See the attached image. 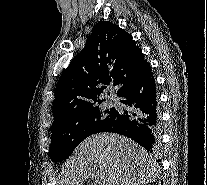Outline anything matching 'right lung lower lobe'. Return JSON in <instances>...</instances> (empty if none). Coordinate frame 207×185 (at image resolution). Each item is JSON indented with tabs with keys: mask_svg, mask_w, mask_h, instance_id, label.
Wrapping results in <instances>:
<instances>
[{
	"mask_svg": "<svg viewBox=\"0 0 207 185\" xmlns=\"http://www.w3.org/2000/svg\"><path fill=\"white\" fill-rule=\"evenodd\" d=\"M117 95L128 110L118 109L117 118L100 132H112L132 138L151 151L158 143L159 108L155 90V79L151 74L122 85Z\"/></svg>",
	"mask_w": 207,
	"mask_h": 185,
	"instance_id": "obj_1",
	"label": "right lung lower lobe"
}]
</instances>
